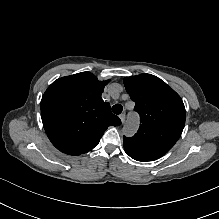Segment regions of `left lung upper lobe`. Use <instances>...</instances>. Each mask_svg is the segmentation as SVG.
Returning a JSON list of instances; mask_svg holds the SVG:
<instances>
[{
    "label": "left lung upper lobe",
    "instance_id": "1",
    "mask_svg": "<svg viewBox=\"0 0 219 219\" xmlns=\"http://www.w3.org/2000/svg\"><path fill=\"white\" fill-rule=\"evenodd\" d=\"M124 85L141 122L133 137H123L125 152L137 161L156 160L181 136L185 125L183 101L170 86L151 74L125 77Z\"/></svg>",
    "mask_w": 219,
    "mask_h": 219
}]
</instances>
